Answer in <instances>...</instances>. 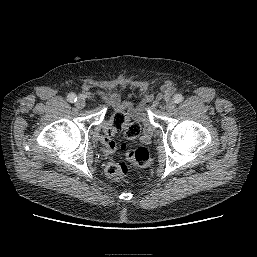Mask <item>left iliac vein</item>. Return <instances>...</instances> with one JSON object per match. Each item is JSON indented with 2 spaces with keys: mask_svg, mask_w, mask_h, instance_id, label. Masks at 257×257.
<instances>
[{
  "mask_svg": "<svg viewBox=\"0 0 257 257\" xmlns=\"http://www.w3.org/2000/svg\"><path fill=\"white\" fill-rule=\"evenodd\" d=\"M175 108V102L173 100H168L165 104V109L168 112H171Z\"/></svg>",
  "mask_w": 257,
  "mask_h": 257,
  "instance_id": "obj_1",
  "label": "left iliac vein"
}]
</instances>
